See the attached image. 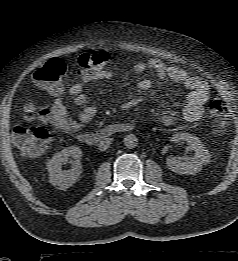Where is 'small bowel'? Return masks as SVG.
<instances>
[{"label": "small bowel", "mask_w": 238, "mask_h": 261, "mask_svg": "<svg viewBox=\"0 0 238 261\" xmlns=\"http://www.w3.org/2000/svg\"><path fill=\"white\" fill-rule=\"evenodd\" d=\"M148 69L154 70L160 79H170L177 84L183 85L189 91L186 103L180 112V117L183 120L194 122L202 117L204 106L210 97L208 85L203 80L176 66L167 65L158 59L141 61L134 66V71L137 73H143ZM112 76L113 72L110 69L85 71L80 81L69 88L68 94L73 104L81 108L77 119L70 116L67 106L60 96L61 92L54 93L55 99L47 109L48 124L58 132L71 133L83 128L96 115L95 106L91 103L89 97L83 93L85 85L97 80H109ZM151 86L152 83L147 78H143L138 82V88L142 91L149 90ZM159 120L165 125H172L178 120V115L167 112L162 114Z\"/></svg>", "instance_id": "c3829d8e"}]
</instances>
